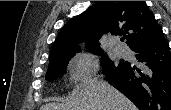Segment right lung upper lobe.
I'll use <instances>...</instances> for the list:
<instances>
[{
  "label": "right lung upper lobe",
  "mask_w": 171,
  "mask_h": 110,
  "mask_svg": "<svg viewBox=\"0 0 171 110\" xmlns=\"http://www.w3.org/2000/svg\"><path fill=\"white\" fill-rule=\"evenodd\" d=\"M105 33L127 34L130 49L150 43L163 34L144 1H99L61 29L52 45L49 61L79 52L78 44L85 41L91 52L101 50L98 40Z\"/></svg>",
  "instance_id": "cb5924a9"
}]
</instances>
